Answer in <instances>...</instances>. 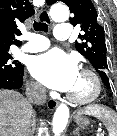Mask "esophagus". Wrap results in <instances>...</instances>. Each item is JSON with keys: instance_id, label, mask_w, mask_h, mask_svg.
<instances>
[{"instance_id": "obj_1", "label": "esophagus", "mask_w": 117, "mask_h": 136, "mask_svg": "<svg viewBox=\"0 0 117 136\" xmlns=\"http://www.w3.org/2000/svg\"><path fill=\"white\" fill-rule=\"evenodd\" d=\"M38 18L41 22H45L47 24L51 23V18L49 16L48 10L42 8L38 13ZM47 106L49 109L53 110L58 106V101L54 99H48Z\"/></svg>"}]
</instances>
